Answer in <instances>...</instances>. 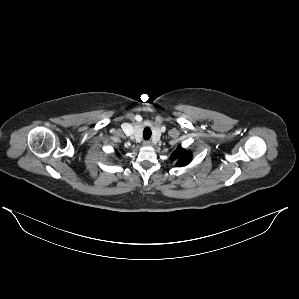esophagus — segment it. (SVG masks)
Wrapping results in <instances>:
<instances>
[{
    "label": "esophagus",
    "mask_w": 299,
    "mask_h": 299,
    "mask_svg": "<svg viewBox=\"0 0 299 299\" xmlns=\"http://www.w3.org/2000/svg\"><path fill=\"white\" fill-rule=\"evenodd\" d=\"M143 144H144V146H151V141L150 140H145L144 142H143Z\"/></svg>",
    "instance_id": "1"
}]
</instances>
